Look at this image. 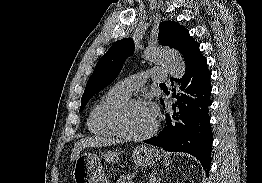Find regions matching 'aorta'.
Returning <instances> with one entry per match:
<instances>
[{
    "label": "aorta",
    "mask_w": 262,
    "mask_h": 183,
    "mask_svg": "<svg viewBox=\"0 0 262 183\" xmlns=\"http://www.w3.org/2000/svg\"><path fill=\"white\" fill-rule=\"evenodd\" d=\"M144 58L150 62L161 64L169 74L180 79L185 74V62L181 54L171 49L149 47L144 51Z\"/></svg>",
    "instance_id": "aorta-1"
}]
</instances>
